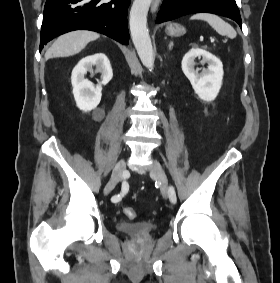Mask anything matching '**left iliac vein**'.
<instances>
[{
  "instance_id": "left-iliac-vein-1",
  "label": "left iliac vein",
  "mask_w": 280,
  "mask_h": 283,
  "mask_svg": "<svg viewBox=\"0 0 280 283\" xmlns=\"http://www.w3.org/2000/svg\"><path fill=\"white\" fill-rule=\"evenodd\" d=\"M149 173L160 182L161 194L163 197H167L169 191L168 178L164 169L157 160H154L153 163L149 166Z\"/></svg>"
}]
</instances>
